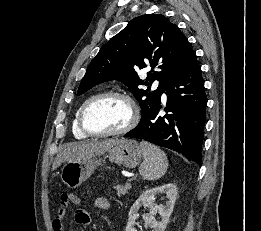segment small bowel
<instances>
[{"label":"small bowel","mask_w":261,"mask_h":231,"mask_svg":"<svg viewBox=\"0 0 261 231\" xmlns=\"http://www.w3.org/2000/svg\"><path fill=\"white\" fill-rule=\"evenodd\" d=\"M95 205L101 209H107L109 207V202L103 197H98L95 200ZM65 217V212L60 208L57 210L55 219L53 220L54 231H63V219ZM75 220L80 226H87L91 223V216L89 212L85 209H77L75 211Z\"/></svg>","instance_id":"small-bowel-1"}]
</instances>
